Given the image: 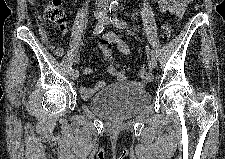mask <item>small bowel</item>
<instances>
[{
    "label": "small bowel",
    "instance_id": "obj_1",
    "mask_svg": "<svg viewBox=\"0 0 225 159\" xmlns=\"http://www.w3.org/2000/svg\"><path fill=\"white\" fill-rule=\"evenodd\" d=\"M157 4L161 12L173 13L177 17H180L182 16L185 8L187 7L188 1L187 0H157ZM39 31L45 44L50 49H52L56 55L58 56L62 55L63 54L62 48L53 42V39L46 31L43 24H40ZM61 31L64 34L65 32L64 29H61ZM112 44H115L119 52L122 53L123 55H130L131 50H130L129 43L121 39L120 37H118L116 34L112 32H107L103 35V38L99 41V48L102 50L104 47H111ZM79 70L83 74H89L91 72L89 68H86L83 66H79ZM107 72L108 74L116 77L119 80H123L125 77L123 72L113 70L110 65L107 67ZM103 85L104 83L100 81V82H97L95 86L93 87L81 86L80 93L83 98L88 99L92 97L97 90L102 88Z\"/></svg>",
    "mask_w": 225,
    "mask_h": 159
}]
</instances>
